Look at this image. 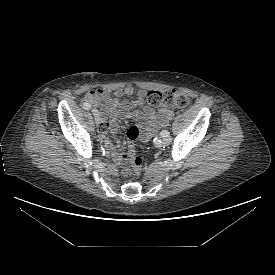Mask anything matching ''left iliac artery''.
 I'll use <instances>...</instances> for the list:
<instances>
[{
	"mask_svg": "<svg viewBox=\"0 0 275 275\" xmlns=\"http://www.w3.org/2000/svg\"><path fill=\"white\" fill-rule=\"evenodd\" d=\"M160 135H161V137L169 136V132L167 130H163V131H161Z\"/></svg>",
	"mask_w": 275,
	"mask_h": 275,
	"instance_id": "44dca946",
	"label": "left iliac artery"
}]
</instances>
